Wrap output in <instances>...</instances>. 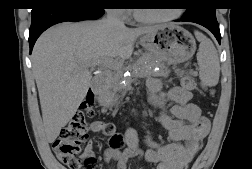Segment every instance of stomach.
Masks as SVG:
<instances>
[{
	"instance_id": "obj_1",
	"label": "stomach",
	"mask_w": 252,
	"mask_h": 169,
	"mask_svg": "<svg viewBox=\"0 0 252 169\" xmlns=\"http://www.w3.org/2000/svg\"><path fill=\"white\" fill-rule=\"evenodd\" d=\"M140 44L167 64L181 63L190 59L196 50V42L190 32L181 26L162 25L155 31L140 37ZM115 100L108 99V103Z\"/></svg>"
}]
</instances>
